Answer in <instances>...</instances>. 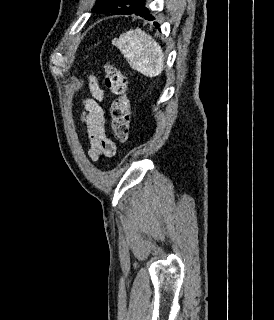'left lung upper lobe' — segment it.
Segmentation results:
<instances>
[{"label": "left lung upper lobe", "mask_w": 274, "mask_h": 320, "mask_svg": "<svg viewBox=\"0 0 274 320\" xmlns=\"http://www.w3.org/2000/svg\"><path fill=\"white\" fill-rule=\"evenodd\" d=\"M137 0H97L92 9L96 13L110 14L111 12H121L132 6Z\"/></svg>", "instance_id": "left-lung-upper-lobe-1"}]
</instances>
